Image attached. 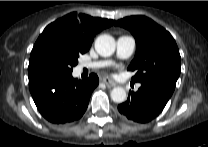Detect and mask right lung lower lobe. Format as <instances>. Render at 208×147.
Instances as JSON below:
<instances>
[{"label":"right lung lower lobe","instance_id":"1","mask_svg":"<svg viewBox=\"0 0 208 147\" xmlns=\"http://www.w3.org/2000/svg\"><path fill=\"white\" fill-rule=\"evenodd\" d=\"M98 83L96 74L86 80L75 79L72 73L45 75L30 81L29 89L42 116L52 123L64 124L82 117Z\"/></svg>","mask_w":208,"mask_h":147}]
</instances>
